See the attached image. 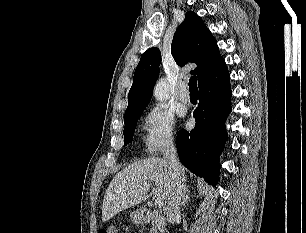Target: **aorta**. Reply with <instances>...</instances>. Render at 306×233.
<instances>
[{"label":"aorta","instance_id":"aorta-1","mask_svg":"<svg viewBox=\"0 0 306 233\" xmlns=\"http://www.w3.org/2000/svg\"><path fill=\"white\" fill-rule=\"evenodd\" d=\"M153 93L157 100L166 101L169 97L167 82L164 79H160L156 83Z\"/></svg>","mask_w":306,"mask_h":233}]
</instances>
